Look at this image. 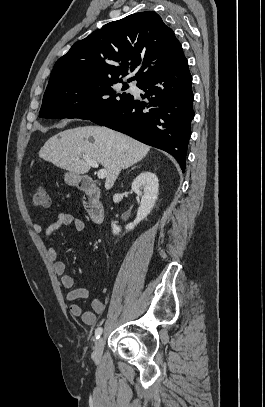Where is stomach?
<instances>
[{
	"instance_id": "0dacf381",
	"label": "stomach",
	"mask_w": 265,
	"mask_h": 407,
	"mask_svg": "<svg viewBox=\"0 0 265 407\" xmlns=\"http://www.w3.org/2000/svg\"><path fill=\"white\" fill-rule=\"evenodd\" d=\"M64 180L68 185L76 186L82 181V176L69 171L65 173Z\"/></svg>"
}]
</instances>
